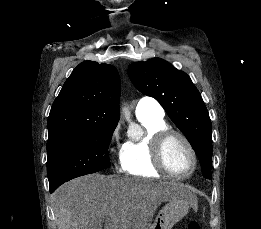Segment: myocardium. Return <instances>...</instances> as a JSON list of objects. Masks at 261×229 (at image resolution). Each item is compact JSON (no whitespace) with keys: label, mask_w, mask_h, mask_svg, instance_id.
Here are the masks:
<instances>
[{"label":"myocardium","mask_w":261,"mask_h":229,"mask_svg":"<svg viewBox=\"0 0 261 229\" xmlns=\"http://www.w3.org/2000/svg\"><path fill=\"white\" fill-rule=\"evenodd\" d=\"M175 138L180 139L188 148L192 157V167L184 174L174 172L168 165L166 160V147L169 142ZM153 161L160 171L175 179H185L190 177L197 168V154L191 141L181 132L173 129H164L160 131L154 138L152 147Z\"/></svg>","instance_id":"myocardium-1"}]
</instances>
